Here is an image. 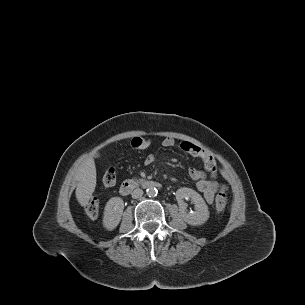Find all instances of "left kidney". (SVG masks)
Instances as JSON below:
<instances>
[{
    "label": "left kidney",
    "mask_w": 305,
    "mask_h": 305,
    "mask_svg": "<svg viewBox=\"0 0 305 305\" xmlns=\"http://www.w3.org/2000/svg\"><path fill=\"white\" fill-rule=\"evenodd\" d=\"M175 196L179 205V213L186 223L197 226L204 224L208 220V206L198 192L191 188L182 187L176 191ZM184 199H191L195 206V211L187 212V204Z\"/></svg>",
    "instance_id": "obj_1"
}]
</instances>
